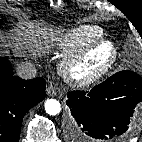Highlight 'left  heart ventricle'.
Wrapping results in <instances>:
<instances>
[{
    "label": "left heart ventricle",
    "instance_id": "obj_1",
    "mask_svg": "<svg viewBox=\"0 0 142 142\" xmlns=\"http://www.w3.org/2000/svg\"><path fill=\"white\" fill-rule=\"evenodd\" d=\"M106 50H101L93 54L80 68L82 73H88L97 69L105 60Z\"/></svg>",
    "mask_w": 142,
    "mask_h": 142
}]
</instances>
